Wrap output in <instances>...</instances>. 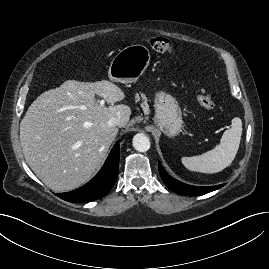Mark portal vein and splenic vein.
I'll return each mask as SVG.
<instances>
[{
    "instance_id": "18ae733b",
    "label": "portal vein and splenic vein",
    "mask_w": 269,
    "mask_h": 269,
    "mask_svg": "<svg viewBox=\"0 0 269 269\" xmlns=\"http://www.w3.org/2000/svg\"><path fill=\"white\" fill-rule=\"evenodd\" d=\"M104 103H105V101L104 100H101L99 104L100 105H104Z\"/></svg>"
}]
</instances>
